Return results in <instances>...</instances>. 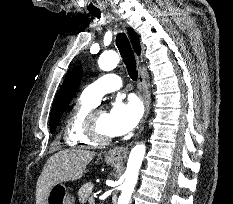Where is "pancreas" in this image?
Instances as JSON below:
<instances>
[{
  "label": "pancreas",
  "mask_w": 233,
  "mask_h": 204,
  "mask_svg": "<svg viewBox=\"0 0 233 204\" xmlns=\"http://www.w3.org/2000/svg\"><path fill=\"white\" fill-rule=\"evenodd\" d=\"M93 187L94 185L92 184V182H88L80 187V189L78 190V197L80 203L84 204L88 202L89 204H94V202L91 201L90 198Z\"/></svg>",
  "instance_id": "1"
}]
</instances>
